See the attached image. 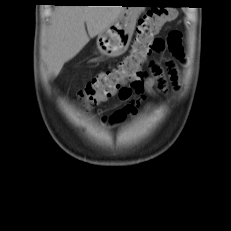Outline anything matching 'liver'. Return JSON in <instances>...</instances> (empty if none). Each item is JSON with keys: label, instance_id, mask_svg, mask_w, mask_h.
<instances>
[{"label": "liver", "instance_id": "obj_1", "mask_svg": "<svg viewBox=\"0 0 231 231\" xmlns=\"http://www.w3.org/2000/svg\"><path fill=\"white\" fill-rule=\"evenodd\" d=\"M124 9L122 6L56 7L46 35L45 63L48 71L56 77L64 63L75 57L90 38L112 25Z\"/></svg>", "mask_w": 231, "mask_h": 231}]
</instances>
